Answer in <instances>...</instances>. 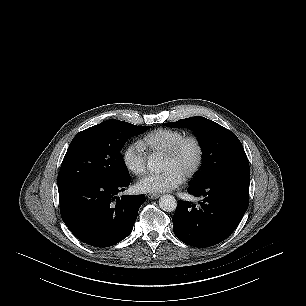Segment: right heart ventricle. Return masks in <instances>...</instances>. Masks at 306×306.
I'll use <instances>...</instances> for the list:
<instances>
[{"instance_id":"e07e8e85","label":"right heart ventricle","mask_w":306,"mask_h":306,"mask_svg":"<svg viewBox=\"0 0 306 306\" xmlns=\"http://www.w3.org/2000/svg\"><path fill=\"white\" fill-rule=\"evenodd\" d=\"M183 136L180 130L160 128L146 134L140 144L150 154H164Z\"/></svg>"}]
</instances>
